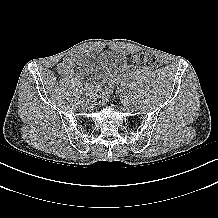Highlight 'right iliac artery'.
<instances>
[{"label":"right iliac artery","instance_id":"1","mask_svg":"<svg viewBox=\"0 0 218 218\" xmlns=\"http://www.w3.org/2000/svg\"><path fill=\"white\" fill-rule=\"evenodd\" d=\"M84 91H85L86 93H85ZM84 91L82 90V91L80 92V93L82 94V96H83V95L88 96V95H89V94H88V88H85Z\"/></svg>","mask_w":218,"mask_h":218}]
</instances>
